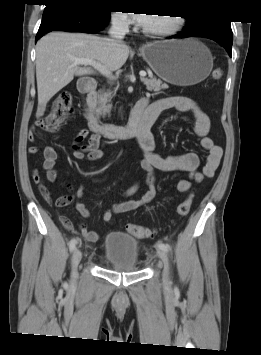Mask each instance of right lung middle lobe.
Wrapping results in <instances>:
<instances>
[{"label": "right lung middle lobe", "mask_w": 261, "mask_h": 355, "mask_svg": "<svg viewBox=\"0 0 261 355\" xmlns=\"http://www.w3.org/2000/svg\"><path fill=\"white\" fill-rule=\"evenodd\" d=\"M81 3H84L99 12H107L108 11L103 7L101 0H84V1H81Z\"/></svg>", "instance_id": "dd1d6c3e"}]
</instances>
